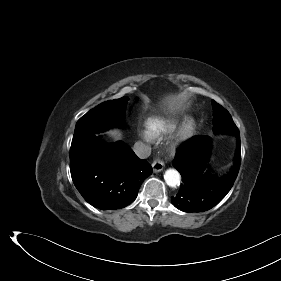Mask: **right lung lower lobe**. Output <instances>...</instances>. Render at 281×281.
Instances as JSON below:
<instances>
[{"instance_id":"obj_1","label":"right lung lower lobe","mask_w":281,"mask_h":281,"mask_svg":"<svg viewBox=\"0 0 281 281\" xmlns=\"http://www.w3.org/2000/svg\"><path fill=\"white\" fill-rule=\"evenodd\" d=\"M70 171L75 187L89 204L115 210L136 199L152 167L127 144H103L96 133L90 132L73 138Z\"/></svg>"}]
</instances>
